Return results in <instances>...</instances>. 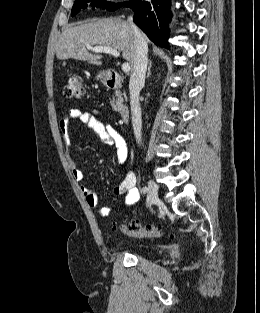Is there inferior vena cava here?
<instances>
[{"mask_svg":"<svg viewBox=\"0 0 260 313\" xmlns=\"http://www.w3.org/2000/svg\"><path fill=\"white\" fill-rule=\"evenodd\" d=\"M128 21L134 31L135 36L134 65L129 82V92H130L132 125L136 141L139 144L141 143V129H142V117L139 102V93L145 83V75L148 63L147 58L148 47L139 29L134 24L132 17H129Z\"/></svg>","mask_w":260,"mask_h":313,"instance_id":"602c4592","label":"inferior vena cava"}]
</instances>
